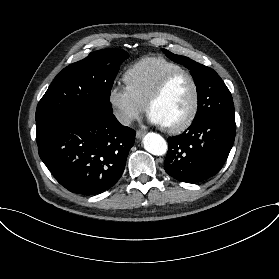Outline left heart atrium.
Here are the masks:
<instances>
[{
  "label": "left heart atrium",
  "instance_id": "left-heart-atrium-1",
  "mask_svg": "<svg viewBox=\"0 0 279 279\" xmlns=\"http://www.w3.org/2000/svg\"><path fill=\"white\" fill-rule=\"evenodd\" d=\"M148 121L153 124V125H157V126H164L162 121L156 117L155 115H153L152 113H149L148 115Z\"/></svg>",
  "mask_w": 279,
  "mask_h": 279
}]
</instances>
